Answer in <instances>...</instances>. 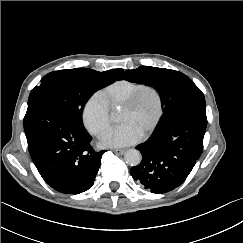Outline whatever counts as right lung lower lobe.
I'll return each instance as SVG.
<instances>
[{
	"label": "right lung lower lobe",
	"instance_id": "98d812e1",
	"mask_svg": "<svg viewBox=\"0 0 243 243\" xmlns=\"http://www.w3.org/2000/svg\"><path fill=\"white\" fill-rule=\"evenodd\" d=\"M23 125L31 158L50 187L79 194L93 185L106 151L93 150L92 137L68 112L50 103L32 102Z\"/></svg>",
	"mask_w": 243,
	"mask_h": 243
}]
</instances>
